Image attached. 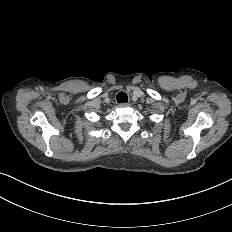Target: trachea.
Instances as JSON below:
<instances>
[{
  "label": "trachea",
  "mask_w": 232,
  "mask_h": 232,
  "mask_svg": "<svg viewBox=\"0 0 232 232\" xmlns=\"http://www.w3.org/2000/svg\"><path fill=\"white\" fill-rule=\"evenodd\" d=\"M118 103H126L128 101V97L124 92H119L116 96Z\"/></svg>",
  "instance_id": "trachea-1"
}]
</instances>
